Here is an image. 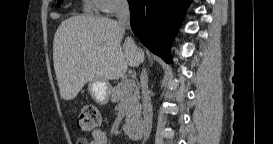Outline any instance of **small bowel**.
I'll use <instances>...</instances> for the list:
<instances>
[{"label": "small bowel", "instance_id": "small-bowel-1", "mask_svg": "<svg viewBox=\"0 0 273 144\" xmlns=\"http://www.w3.org/2000/svg\"><path fill=\"white\" fill-rule=\"evenodd\" d=\"M107 136L101 131L97 130L91 133V140L81 137L77 140V144H107Z\"/></svg>", "mask_w": 273, "mask_h": 144}]
</instances>
